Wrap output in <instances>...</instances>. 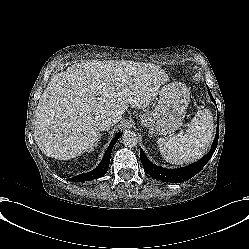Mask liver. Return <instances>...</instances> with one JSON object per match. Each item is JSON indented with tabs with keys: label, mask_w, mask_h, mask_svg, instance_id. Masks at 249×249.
I'll return each mask as SVG.
<instances>
[{
	"label": "liver",
	"mask_w": 249,
	"mask_h": 249,
	"mask_svg": "<svg viewBox=\"0 0 249 249\" xmlns=\"http://www.w3.org/2000/svg\"><path fill=\"white\" fill-rule=\"evenodd\" d=\"M161 77L156 66L122 61H90L57 74L37 106L38 147L59 160L80 156L98 143L105 118L119 122L129 107L146 108L159 93Z\"/></svg>",
	"instance_id": "6515ba94"
}]
</instances>
